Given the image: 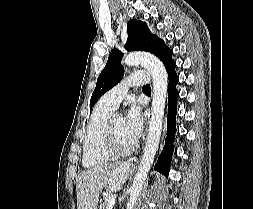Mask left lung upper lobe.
Masks as SVG:
<instances>
[{
	"label": "left lung upper lobe",
	"mask_w": 253,
	"mask_h": 209,
	"mask_svg": "<svg viewBox=\"0 0 253 209\" xmlns=\"http://www.w3.org/2000/svg\"><path fill=\"white\" fill-rule=\"evenodd\" d=\"M128 40L125 45L128 51H148L156 55L167 68L172 62V50H170L162 39L153 35L148 26L139 20L133 19L127 24ZM123 53L113 49L109 54L108 61L100 73L96 88L91 96L90 109L97 100L109 89L117 85L123 78L124 68L121 64Z\"/></svg>",
	"instance_id": "1"
}]
</instances>
